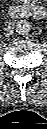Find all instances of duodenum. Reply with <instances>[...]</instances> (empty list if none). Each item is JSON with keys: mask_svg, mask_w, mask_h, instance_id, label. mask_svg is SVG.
Returning a JSON list of instances; mask_svg holds the SVG:
<instances>
[{"mask_svg": "<svg viewBox=\"0 0 47 129\" xmlns=\"http://www.w3.org/2000/svg\"><path fill=\"white\" fill-rule=\"evenodd\" d=\"M45 9L41 6L35 4H23V5H13L9 9V14L13 18H28L36 17L42 18L45 16Z\"/></svg>", "mask_w": 47, "mask_h": 129, "instance_id": "1", "label": "duodenum"}]
</instances>
